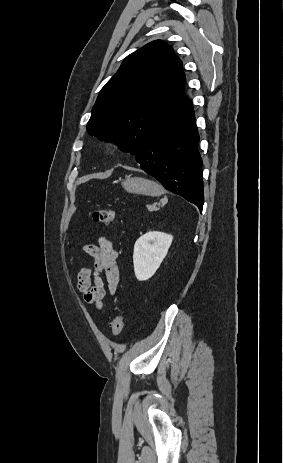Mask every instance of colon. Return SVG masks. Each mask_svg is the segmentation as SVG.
Instances as JSON below:
<instances>
[{
  "instance_id": "colon-1",
  "label": "colon",
  "mask_w": 283,
  "mask_h": 463,
  "mask_svg": "<svg viewBox=\"0 0 283 463\" xmlns=\"http://www.w3.org/2000/svg\"><path fill=\"white\" fill-rule=\"evenodd\" d=\"M115 213L112 209H96L92 213V219L98 224H109L114 220ZM124 329V317L118 314L112 322L113 336H119Z\"/></svg>"
}]
</instances>
